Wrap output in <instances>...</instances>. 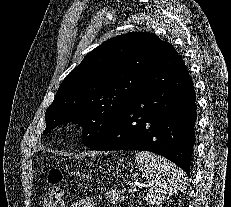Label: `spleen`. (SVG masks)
<instances>
[{
  "label": "spleen",
  "instance_id": "obj_1",
  "mask_svg": "<svg viewBox=\"0 0 231 207\" xmlns=\"http://www.w3.org/2000/svg\"><path fill=\"white\" fill-rule=\"evenodd\" d=\"M135 161L147 179L146 200L154 205L165 201L169 196L186 188V174L165 158L146 151H137Z\"/></svg>",
  "mask_w": 231,
  "mask_h": 207
}]
</instances>
